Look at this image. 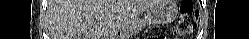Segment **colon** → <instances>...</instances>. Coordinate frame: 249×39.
<instances>
[{"label": "colon", "instance_id": "1", "mask_svg": "<svg viewBox=\"0 0 249 39\" xmlns=\"http://www.w3.org/2000/svg\"><path fill=\"white\" fill-rule=\"evenodd\" d=\"M198 21V11L191 1H184L180 6V16L174 27L176 37L192 34Z\"/></svg>", "mask_w": 249, "mask_h": 39}]
</instances>
